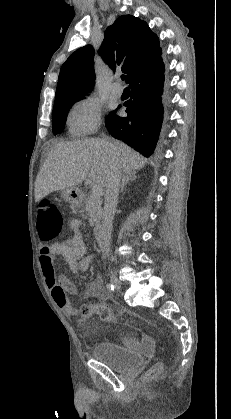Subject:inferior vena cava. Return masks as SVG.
Wrapping results in <instances>:
<instances>
[{"label":"inferior vena cava","mask_w":231,"mask_h":419,"mask_svg":"<svg viewBox=\"0 0 231 419\" xmlns=\"http://www.w3.org/2000/svg\"><path fill=\"white\" fill-rule=\"evenodd\" d=\"M121 176V167L115 162L112 163L105 185L102 225L98 235V243L105 257H109L112 223L117 206Z\"/></svg>","instance_id":"obj_1"}]
</instances>
